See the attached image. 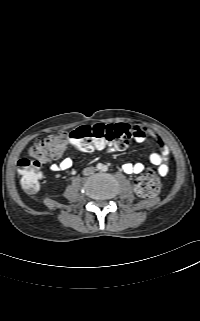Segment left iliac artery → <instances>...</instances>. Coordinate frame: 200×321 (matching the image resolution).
Masks as SVG:
<instances>
[{
	"label": "left iliac artery",
	"instance_id": "left-iliac-artery-1",
	"mask_svg": "<svg viewBox=\"0 0 200 321\" xmlns=\"http://www.w3.org/2000/svg\"><path fill=\"white\" fill-rule=\"evenodd\" d=\"M108 170V167L107 166H104L103 167V171H107Z\"/></svg>",
	"mask_w": 200,
	"mask_h": 321
}]
</instances>
